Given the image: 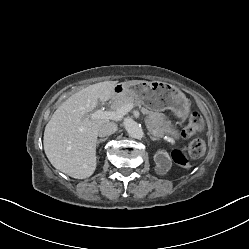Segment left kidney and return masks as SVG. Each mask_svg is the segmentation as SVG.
Here are the masks:
<instances>
[{
  "instance_id": "obj_1",
  "label": "left kidney",
  "mask_w": 249,
  "mask_h": 249,
  "mask_svg": "<svg viewBox=\"0 0 249 249\" xmlns=\"http://www.w3.org/2000/svg\"><path fill=\"white\" fill-rule=\"evenodd\" d=\"M154 160L156 162L155 171L159 175L166 174L170 170V168L172 166L171 159H170V157H169V155L167 154L166 151H163V150L159 151L154 156Z\"/></svg>"
}]
</instances>
